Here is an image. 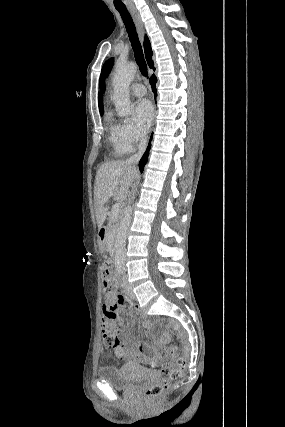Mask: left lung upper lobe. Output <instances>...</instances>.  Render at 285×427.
<instances>
[{
	"label": "left lung upper lobe",
	"instance_id": "obj_1",
	"mask_svg": "<svg viewBox=\"0 0 285 427\" xmlns=\"http://www.w3.org/2000/svg\"><path fill=\"white\" fill-rule=\"evenodd\" d=\"M112 66H113V58L108 60L102 68L101 75H100V87L102 88V90H104L105 88L104 79L107 77V75L111 71Z\"/></svg>",
	"mask_w": 285,
	"mask_h": 427
}]
</instances>
